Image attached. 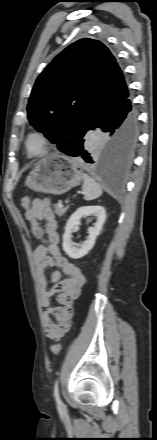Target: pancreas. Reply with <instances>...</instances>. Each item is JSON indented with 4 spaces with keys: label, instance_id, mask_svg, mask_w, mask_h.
<instances>
[{
    "label": "pancreas",
    "instance_id": "obj_1",
    "mask_svg": "<svg viewBox=\"0 0 157 440\" xmlns=\"http://www.w3.org/2000/svg\"><path fill=\"white\" fill-rule=\"evenodd\" d=\"M55 208V213L59 216L62 217L65 215L66 211L68 210V207H62L60 205H54Z\"/></svg>",
    "mask_w": 157,
    "mask_h": 440
}]
</instances>
